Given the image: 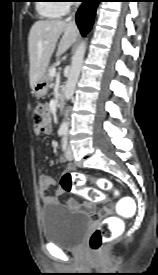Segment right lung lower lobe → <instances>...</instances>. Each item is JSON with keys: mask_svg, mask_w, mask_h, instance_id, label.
Returning a JSON list of instances; mask_svg holds the SVG:
<instances>
[{"mask_svg": "<svg viewBox=\"0 0 158 275\" xmlns=\"http://www.w3.org/2000/svg\"><path fill=\"white\" fill-rule=\"evenodd\" d=\"M100 0H83V4L76 14V23L82 36L88 33L93 25L96 8Z\"/></svg>", "mask_w": 158, "mask_h": 275, "instance_id": "right-lung-lower-lobe-1", "label": "right lung lower lobe"}]
</instances>
